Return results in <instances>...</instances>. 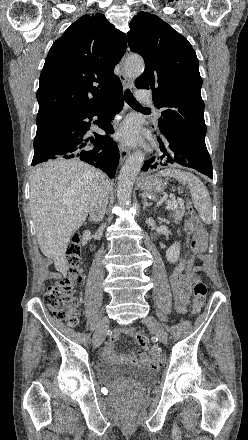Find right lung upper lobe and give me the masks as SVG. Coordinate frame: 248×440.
I'll return each mask as SVG.
<instances>
[{"instance_id": "1", "label": "right lung upper lobe", "mask_w": 248, "mask_h": 440, "mask_svg": "<svg viewBox=\"0 0 248 440\" xmlns=\"http://www.w3.org/2000/svg\"><path fill=\"white\" fill-rule=\"evenodd\" d=\"M125 51L126 35L103 14L84 15L71 24L45 60L37 125L109 97L120 83L113 71Z\"/></svg>"}]
</instances>
